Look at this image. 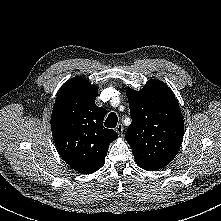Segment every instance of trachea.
<instances>
[{
    "label": "trachea",
    "mask_w": 221,
    "mask_h": 221,
    "mask_svg": "<svg viewBox=\"0 0 221 221\" xmlns=\"http://www.w3.org/2000/svg\"><path fill=\"white\" fill-rule=\"evenodd\" d=\"M118 122V117L115 113H110L107 119L105 120L104 125L107 128H115Z\"/></svg>",
    "instance_id": "obj_1"
}]
</instances>
